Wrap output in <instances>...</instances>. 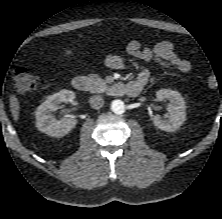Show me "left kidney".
I'll return each mask as SVG.
<instances>
[{
  "label": "left kidney",
  "instance_id": "1",
  "mask_svg": "<svg viewBox=\"0 0 222 219\" xmlns=\"http://www.w3.org/2000/svg\"><path fill=\"white\" fill-rule=\"evenodd\" d=\"M158 100H168L169 118L163 119L160 115L153 117V123L166 132L176 131L186 118V105L182 95L174 90L160 89L156 92Z\"/></svg>",
  "mask_w": 222,
  "mask_h": 219
}]
</instances>
